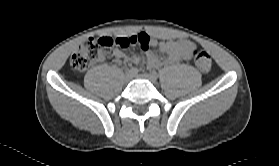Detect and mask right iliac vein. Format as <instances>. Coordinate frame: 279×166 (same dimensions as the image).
<instances>
[{"label": "right iliac vein", "mask_w": 279, "mask_h": 166, "mask_svg": "<svg viewBox=\"0 0 279 166\" xmlns=\"http://www.w3.org/2000/svg\"><path fill=\"white\" fill-rule=\"evenodd\" d=\"M133 78V74L127 71L124 75V81L127 83Z\"/></svg>", "instance_id": "obj_1"}]
</instances>
